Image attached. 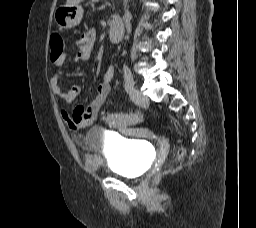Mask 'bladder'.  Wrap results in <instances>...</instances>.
I'll use <instances>...</instances> for the list:
<instances>
[{
  "label": "bladder",
  "instance_id": "obj_1",
  "mask_svg": "<svg viewBox=\"0 0 256 228\" xmlns=\"http://www.w3.org/2000/svg\"><path fill=\"white\" fill-rule=\"evenodd\" d=\"M86 146V164L94 170L136 178L147 169L149 153L139 141L114 138L100 128H92L87 133Z\"/></svg>",
  "mask_w": 256,
  "mask_h": 228
}]
</instances>
